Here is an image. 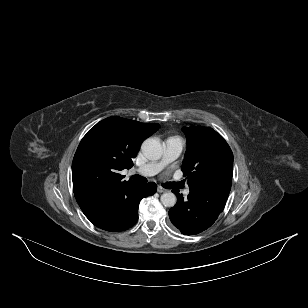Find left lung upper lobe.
I'll use <instances>...</instances> for the list:
<instances>
[{"label":"left lung upper lobe","mask_w":308,"mask_h":308,"mask_svg":"<svg viewBox=\"0 0 308 308\" xmlns=\"http://www.w3.org/2000/svg\"><path fill=\"white\" fill-rule=\"evenodd\" d=\"M188 149L182 165L189 188L231 178L233 153L225 139L208 127H184Z\"/></svg>","instance_id":"left-lung-upper-lobe-1"}]
</instances>
